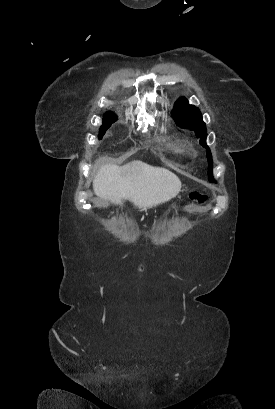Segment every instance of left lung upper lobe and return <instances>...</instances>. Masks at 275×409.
Wrapping results in <instances>:
<instances>
[{"label": "left lung upper lobe", "mask_w": 275, "mask_h": 409, "mask_svg": "<svg viewBox=\"0 0 275 409\" xmlns=\"http://www.w3.org/2000/svg\"><path fill=\"white\" fill-rule=\"evenodd\" d=\"M172 116L178 126L193 130L198 137L199 143L206 148L208 159V178L210 182H215L212 176V155L209 147L206 145L207 130L205 123L202 120V115L199 109L188 104V100L184 97L178 99L175 103Z\"/></svg>", "instance_id": "left-lung-upper-lobe-1"}]
</instances>
